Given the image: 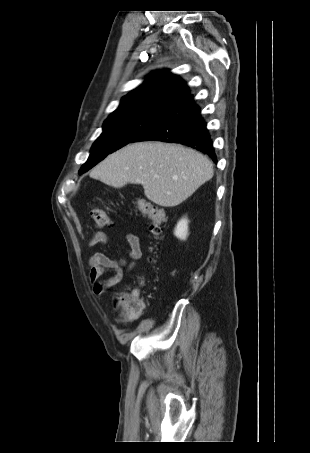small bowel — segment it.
Returning a JSON list of instances; mask_svg holds the SVG:
<instances>
[{
  "mask_svg": "<svg viewBox=\"0 0 310 453\" xmlns=\"http://www.w3.org/2000/svg\"><path fill=\"white\" fill-rule=\"evenodd\" d=\"M128 243L129 260H116L104 253L96 252L90 257V274L89 278L92 282V291L96 296H101L105 290L122 282L126 275L133 270L137 262L142 258V249L139 237L134 232H129L126 235ZM108 236L104 232H96L88 240V246L107 245ZM114 272L113 276L107 280H102V276L107 272ZM138 319L137 317H128L119 314L116 321L121 325L129 324Z\"/></svg>",
  "mask_w": 310,
  "mask_h": 453,
  "instance_id": "obj_1",
  "label": "small bowel"
}]
</instances>
